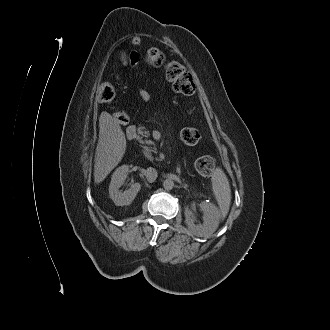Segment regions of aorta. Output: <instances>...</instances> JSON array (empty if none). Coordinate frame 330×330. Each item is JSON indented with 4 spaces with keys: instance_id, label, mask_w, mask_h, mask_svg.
<instances>
[{
    "instance_id": "762f6f07",
    "label": "aorta",
    "mask_w": 330,
    "mask_h": 330,
    "mask_svg": "<svg viewBox=\"0 0 330 330\" xmlns=\"http://www.w3.org/2000/svg\"><path fill=\"white\" fill-rule=\"evenodd\" d=\"M163 187L166 189V190H172L174 188V182L171 180V179H166L164 182H163Z\"/></svg>"
}]
</instances>
